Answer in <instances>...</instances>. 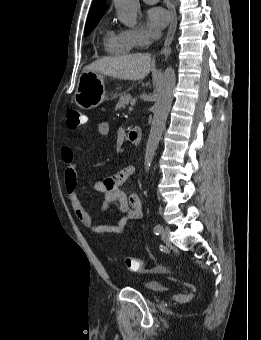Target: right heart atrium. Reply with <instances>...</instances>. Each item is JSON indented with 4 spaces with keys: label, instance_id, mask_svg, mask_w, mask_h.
<instances>
[{
    "label": "right heart atrium",
    "instance_id": "1",
    "mask_svg": "<svg viewBox=\"0 0 261 340\" xmlns=\"http://www.w3.org/2000/svg\"><path fill=\"white\" fill-rule=\"evenodd\" d=\"M124 31L128 34V36L139 48L147 46L150 41V35L148 31L142 26H138L133 29H127Z\"/></svg>",
    "mask_w": 261,
    "mask_h": 340
}]
</instances>
